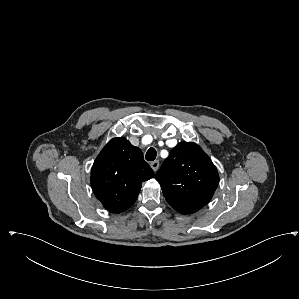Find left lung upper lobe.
I'll use <instances>...</instances> for the list:
<instances>
[{
	"instance_id": "obj_1",
	"label": "left lung upper lobe",
	"mask_w": 299,
	"mask_h": 299,
	"mask_svg": "<svg viewBox=\"0 0 299 299\" xmlns=\"http://www.w3.org/2000/svg\"><path fill=\"white\" fill-rule=\"evenodd\" d=\"M169 205L190 214L212 198L219 175L207 154L195 143H178L155 176Z\"/></svg>"
}]
</instances>
